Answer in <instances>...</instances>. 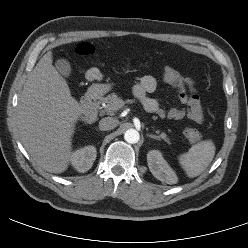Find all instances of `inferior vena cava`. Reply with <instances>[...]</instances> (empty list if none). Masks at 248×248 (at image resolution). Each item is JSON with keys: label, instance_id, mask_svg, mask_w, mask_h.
<instances>
[{"label": "inferior vena cava", "instance_id": "1", "mask_svg": "<svg viewBox=\"0 0 248 248\" xmlns=\"http://www.w3.org/2000/svg\"><path fill=\"white\" fill-rule=\"evenodd\" d=\"M119 121L113 117H105L99 122V129L102 131L112 130L117 127Z\"/></svg>", "mask_w": 248, "mask_h": 248}]
</instances>
